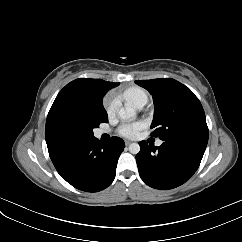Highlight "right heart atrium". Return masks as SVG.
I'll return each instance as SVG.
<instances>
[{
    "mask_svg": "<svg viewBox=\"0 0 242 242\" xmlns=\"http://www.w3.org/2000/svg\"><path fill=\"white\" fill-rule=\"evenodd\" d=\"M118 106V99L115 95L110 94L104 102V107L108 116H112L115 114Z\"/></svg>",
    "mask_w": 242,
    "mask_h": 242,
    "instance_id": "d8ad5b80",
    "label": "right heart atrium"
}]
</instances>
